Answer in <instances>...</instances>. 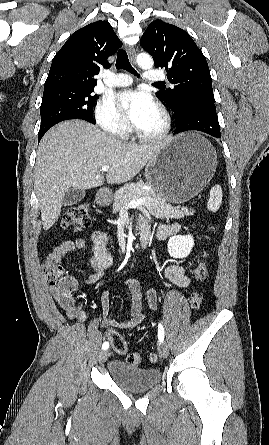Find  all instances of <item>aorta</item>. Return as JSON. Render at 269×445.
I'll use <instances>...</instances> for the list:
<instances>
[{"instance_id":"1","label":"aorta","mask_w":269,"mask_h":445,"mask_svg":"<svg viewBox=\"0 0 269 445\" xmlns=\"http://www.w3.org/2000/svg\"><path fill=\"white\" fill-rule=\"evenodd\" d=\"M137 64L142 68V69H151L153 66V59L151 58L150 55L148 54H139L137 56ZM123 107H127V103H123Z\"/></svg>"}]
</instances>
